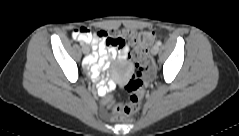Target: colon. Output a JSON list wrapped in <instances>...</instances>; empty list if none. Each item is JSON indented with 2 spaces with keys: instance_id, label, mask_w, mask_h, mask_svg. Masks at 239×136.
Listing matches in <instances>:
<instances>
[{
  "instance_id": "colon-1",
  "label": "colon",
  "mask_w": 239,
  "mask_h": 136,
  "mask_svg": "<svg viewBox=\"0 0 239 136\" xmlns=\"http://www.w3.org/2000/svg\"><path fill=\"white\" fill-rule=\"evenodd\" d=\"M74 34L76 39L85 40L90 38L91 32L89 29L81 27ZM98 34L100 37H106L108 46L121 47L125 43V40L117 33L100 31ZM154 38V33L142 32L134 35L130 40L133 46L131 58L134 60L137 70L125 85V90L129 93V101L113 108V119L117 122H127L130 116L137 112L141 106L144 85L143 76L152 67L148 47Z\"/></svg>"
}]
</instances>
